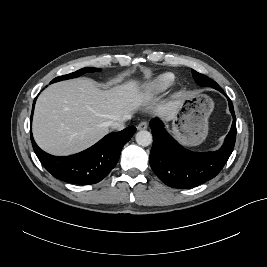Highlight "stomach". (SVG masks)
<instances>
[{
  "instance_id": "1",
  "label": "stomach",
  "mask_w": 267,
  "mask_h": 267,
  "mask_svg": "<svg viewBox=\"0 0 267 267\" xmlns=\"http://www.w3.org/2000/svg\"><path fill=\"white\" fill-rule=\"evenodd\" d=\"M213 109V100L203 93L184 96L172 119L175 137L184 146L200 145L208 135V119Z\"/></svg>"
}]
</instances>
